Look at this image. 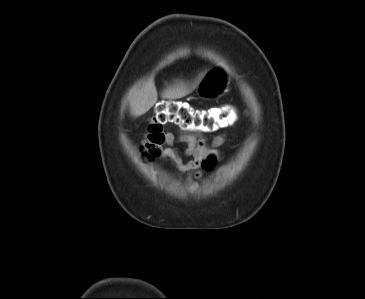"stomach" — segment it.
Instances as JSON below:
<instances>
[{"label":"stomach","instance_id":"stomach-1","mask_svg":"<svg viewBox=\"0 0 365 299\" xmlns=\"http://www.w3.org/2000/svg\"><path fill=\"white\" fill-rule=\"evenodd\" d=\"M229 73L223 66L209 70L200 80L196 93L202 99H214L221 96L228 89Z\"/></svg>","mask_w":365,"mask_h":299}]
</instances>
